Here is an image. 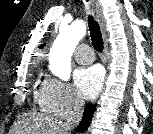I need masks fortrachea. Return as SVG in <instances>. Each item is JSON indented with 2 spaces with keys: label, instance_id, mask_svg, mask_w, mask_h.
<instances>
[{
  "label": "trachea",
  "instance_id": "3493384b",
  "mask_svg": "<svg viewBox=\"0 0 153 134\" xmlns=\"http://www.w3.org/2000/svg\"><path fill=\"white\" fill-rule=\"evenodd\" d=\"M88 1V0H86ZM89 31L90 37L92 41V45L94 49L98 52H102L103 50V39L100 31V27L98 23L94 20L92 16L88 17Z\"/></svg>",
  "mask_w": 153,
  "mask_h": 134
}]
</instances>
